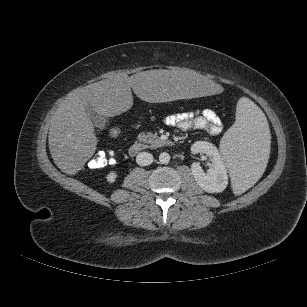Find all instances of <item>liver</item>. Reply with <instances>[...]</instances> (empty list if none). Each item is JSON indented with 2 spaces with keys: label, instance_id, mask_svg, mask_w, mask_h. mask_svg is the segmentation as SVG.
<instances>
[{
  "label": "liver",
  "instance_id": "6515ba94",
  "mask_svg": "<svg viewBox=\"0 0 307 307\" xmlns=\"http://www.w3.org/2000/svg\"><path fill=\"white\" fill-rule=\"evenodd\" d=\"M149 103L207 96L216 99L223 87L190 69L149 70L128 76L116 74L70 92L51 118L48 142L58 168L74 175L96 150L97 137L86 111L93 107L105 117L120 115L133 105L132 92Z\"/></svg>",
  "mask_w": 307,
  "mask_h": 307
}]
</instances>
